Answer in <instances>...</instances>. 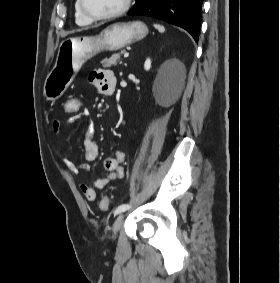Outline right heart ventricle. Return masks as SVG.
Listing matches in <instances>:
<instances>
[{
	"label": "right heart ventricle",
	"instance_id": "e07e8e85",
	"mask_svg": "<svg viewBox=\"0 0 280 283\" xmlns=\"http://www.w3.org/2000/svg\"><path fill=\"white\" fill-rule=\"evenodd\" d=\"M74 18H75V22L80 26H86L92 22L83 14L80 8L79 0H75L74 3Z\"/></svg>",
	"mask_w": 280,
	"mask_h": 283
}]
</instances>
